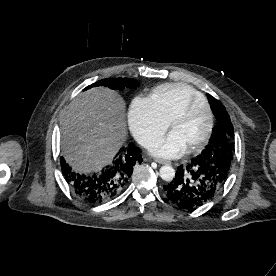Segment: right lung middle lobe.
Returning a JSON list of instances; mask_svg holds the SVG:
<instances>
[{"instance_id": "dd1d6c3e", "label": "right lung middle lobe", "mask_w": 276, "mask_h": 276, "mask_svg": "<svg viewBox=\"0 0 276 276\" xmlns=\"http://www.w3.org/2000/svg\"><path fill=\"white\" fill-rule=\"evenodd\" d=\"M101 85L107 86L114 90H123L125 87H128V88L137 87L138 83L134 79H130V78H110V79L100 80L86 87L84 90H87L92 87L101 86Z\"/></svg>"}]
</instances>
